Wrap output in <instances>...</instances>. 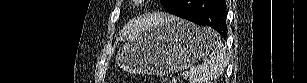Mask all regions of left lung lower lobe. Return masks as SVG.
Returning a JSON list of instances; mask_svg holds the SVG:
<instances>
[{
  "label": "left lung lower lobe",
  "instance_id": "obj_1",
  "mask_svg": "<svg viewBox=\"0 0 307 83\" xmlns=\"http://www.w3.org/2000/svg\"><path fill=\"white\" fill-rule=\"evenodd\" d=\"M167 12L198 25H208L226 38L225 0H175Z\"/></svg>",
  "mask_w": 307,
  "mask_h": 83
}]
</instances>
